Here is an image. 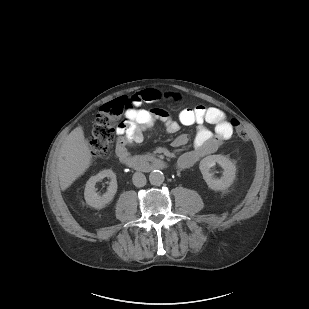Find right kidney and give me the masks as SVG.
Masks as SVG:
<instances>
[{"mask_svg":"<svg viewBox=\"0 0 309 309\" xmlns=\"http://www.w3.org/2000/svg\"><path fill=\"white\" fill-rule=\"evenodd\" d=\"M105 177L110 178V186L108 191L99 196L95 191V185L98 181L104 179ZM117 191V180L116 175L112 170H103L95 176H92L86 183L84 198L86 203L96 209H101L110 203Z\"/></svg>","mask_w":309,"mask_h":309,"instance_id":"1","label":"right kidney"}]
</instances>
